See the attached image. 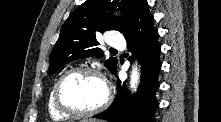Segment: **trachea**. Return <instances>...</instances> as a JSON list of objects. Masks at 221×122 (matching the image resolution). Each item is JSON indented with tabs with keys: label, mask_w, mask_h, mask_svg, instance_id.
<instances>
[{
	"label": "trachea",
	"mask_w": 221,
	"mask_h": 122,
	"mask_svg": "<svg viewBox=\"0 0 221 122\" xmlns=\"http://www.w3.org/2000/svg\"><path fill=\"white\" fill-rule=\"evenodd\" d=\"M111 51H116L115 49H111Z\"/></svg>",
	"instance_id": "3493384b"
}]
</instances>
